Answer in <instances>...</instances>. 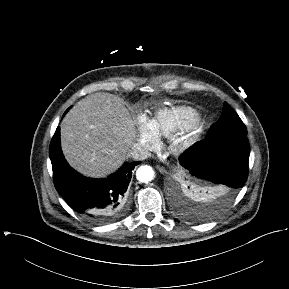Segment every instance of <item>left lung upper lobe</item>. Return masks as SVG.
Instances as JSON below:
<instances>
[{
	"label": "left lung upper lobe",
	"instance_id": "1",
	"mask_svg": "<svg viewBox=\"0 0 289 289\" xmlns=\"http://www.w3.org/2000/svg\"><path fill=\"white\" fill-rule=\"evenodd\" d=\"M228 134H247L246 127L237 113L228 105L227 102L224 103L223 113L219 120L210 128L206 137L212 138ZM195 207H183V213H188L191 216H194L195 219L204 220L208 216L212 215L210 210H206L201 206L194 205Z\"/></svg>",
	"mask_w": 289,
	"mask_h": 289
}]
</instances>
